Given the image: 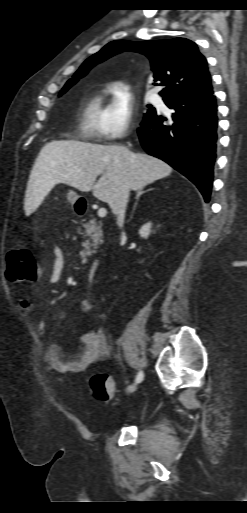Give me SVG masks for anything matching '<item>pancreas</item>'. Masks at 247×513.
Listing matches in <instances>:
<instances>
[{
	"label": "pancreas",
	"instance_id": "cf45deb5",
	"mask_svg": "<svg viewBox=\"0 0 247 513\" xmlns=\"http://www.w3.org/2000/svg\"><path fill=\"white\" fill-rule=\"evenodd\" d=\"M78 231L85 233L86 236L85 242L82 243L84 250L81 252V256L85 258L92 253H96L98 246L103 242L101 223L93 218L86 223H82ZM91 248L93 249L91 250Z\"/></svg>",
	"mask_w": 247,
	"mask_h": 513
}]
</instances>
